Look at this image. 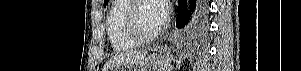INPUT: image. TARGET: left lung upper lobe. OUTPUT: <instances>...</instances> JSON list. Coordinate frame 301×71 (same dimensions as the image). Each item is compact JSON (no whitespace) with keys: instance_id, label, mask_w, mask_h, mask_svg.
Returning <instances> with one entry per match:
<instances>
[{"instance_id":"1","label":"left lung upper lobe","mask_w":301,"mask_h":71,"mask_svg":"<svg viewBox=\"0 0 301 71\" xmlns=\"http://www.w3.org/2000/svg\"><path fill=\"white\" fill-rule=\"evenodd\" d=\"M108 1L109 0H104V7L107 5ZM188 37H189L188 39H190V35L189 34H188Z\"/></svg>"}]
</instances>
